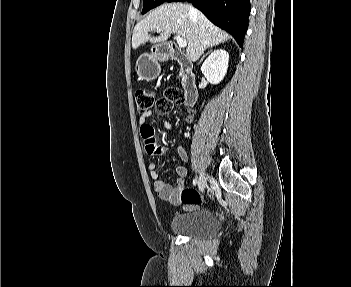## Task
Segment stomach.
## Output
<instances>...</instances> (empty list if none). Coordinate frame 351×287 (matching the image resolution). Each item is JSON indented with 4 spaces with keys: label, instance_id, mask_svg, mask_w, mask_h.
<instances>
[{
    "label": "stomach",
    "instance_id": "0dacf381",
    "mask_svg": "<svg viewBox=\"0 0 351 287\" xmlns=\"http://www.w3.org/2000/svg\"><path fill=\"white\" fill-rule=\"evenodd\" d=\"M168 54L160 45L153 46L151 53H144L138 58L135 71L142 80L152 81L156 79L161 71L159 61L166 59Z\"/></svg>",
    "mask_w": 351,
    "mask_h": 287
}]
</instances>
